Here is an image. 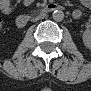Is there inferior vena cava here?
Returning <instances> with one entry per match:
<instances>
[{
    "label": "inferior vena cava",
    "instance_id": "obj_1",
    "mask_svg": "<svg viewBox=\"0 0 91 91\" xmlns=\"http://www.w3.org/2000/svg\"><path fill=\"white\" fill-rule=\"evenodd\" d=\"M46 16H47L46 13L42 12V13H40L39 15H38V14L35 15L34 18H35V20H37V21L39 20V21H40V20L46 18Z\"/></svg>",
    "mask_w": 91,
    "mask_h": 91
}]
</instances>
